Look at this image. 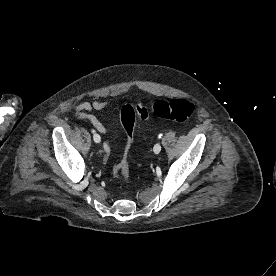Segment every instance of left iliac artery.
I'll list each match as a JSON object with an SVG mask.
<instances>
[{"label": "left iliac artery", "instance_id": "obj_1", "mask_svg": "<svg viewBox=\"0 0 276 276\" xmlns=\"http://www.w3.org/2000/svg\"><path fill=\"white\" fill-rule=\"evenodd\" d=\"M159 138H161L162 137V134H159V136H158Z\"/></svg>", "mask_w": 276, "mask_h": 276}]
</instances>
